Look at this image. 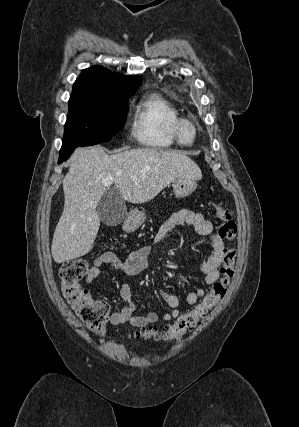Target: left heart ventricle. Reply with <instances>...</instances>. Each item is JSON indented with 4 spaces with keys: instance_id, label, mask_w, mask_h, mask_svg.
I'll return each mask as SVG.
<instances>
[{
    "instance_id": "1",
    "label": "left heart ventricle",
    "mask_w": 299,
    "mask_h": 427,
    "mask_svg": "<svg viewBox=\"0 0 299 427\" xmlns=\"http://www.w3.org/2000/svg\"><path fill=\"white\" fill-rule=\"evenodd\" d=\"M182 136L185 140H191L193 136V132L190 126L184 125L182 127Z\"/></svg>"
}]
</instances>
